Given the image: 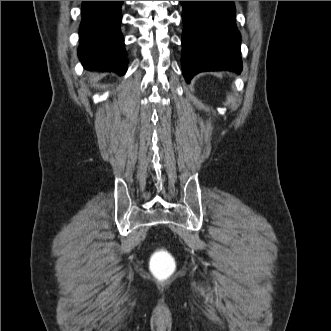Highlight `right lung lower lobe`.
Listing matches in <instances>:
<instances>
[{"mask_svg":"<svg viewBox=\"0 0 331 331\" xmlns=\"http://www.w3.org/2000/svg\"><path fill=\"white\" fill-rule=\"evenodd\" d=\"M123 1H83L78 55L87 69L127 70L124 39L120 33Z\"/></svg>","mask_w":331,"mask_h":331,"instance_id":"obj_1","label":"right lung lower lobe"}]
</instances>
